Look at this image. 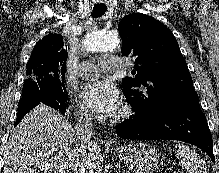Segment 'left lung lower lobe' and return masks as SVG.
<instances>
[{
  "label": "left lung lower lobe",
  "mask_w": 219,
  "mask_h": 173,
  "mask_svg": "<svg viewBox=\"0 0 219 173\" xmlns=\"http://www.w3.org/2000/svg\"><path fill=\"white\" fill-rule=\"evenodd\" d=\"M125 139L180 140L203 149L215 162L213 141L199 101H185L164 108L156 115H134L116 126Z\"/></svg>",
  "instance_id": "obj_1"
}]
</instances>
